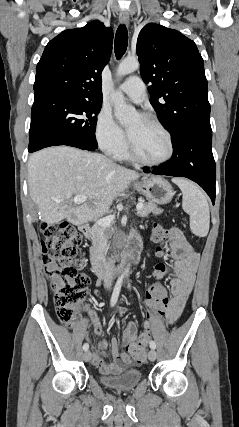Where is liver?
I'll return each mask as SVG.
<instances>
[{
  "mask_svg": "<svg viewBox=\"0 0 239 427\" xmlns=\"http://www.w3.org/2000/svg\"><path fill=\"white\" fill-rule=\"evenodd\" d=\"M139 177L102 154L68 146L45 148L28 160L29 194L47 224L67 219L79 226L101 218ZM74 195L86 200L76 204Z\"/></svg>",
  "mask_w": 239,
  "mask_h": 427,
  "instance_id": "obj_1",
  "label": "liver"
}]
</instances>
